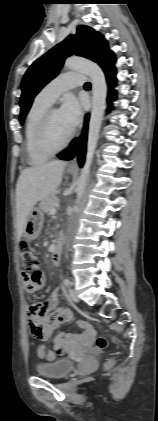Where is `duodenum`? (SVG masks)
Returning <instances> with one entry per match:
<instances>
[{
	"instance_id": "1",
	"label": "duodenum",
	"mask_w": 158,
	"mask_h": 421,
	"mask_svg": "<svg viewBox=\"0 0 158 421\" xmlns=\"http://www.w3.org/2000/svg\"><path fill=\"white\" fill-rule=\"evenodd\" d=\"M62 258V245L59 243L56 245L53 254H52V262L54 265H59Z\"/></svg>"
}]
</instances>
